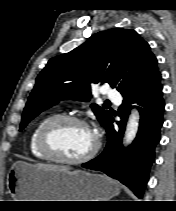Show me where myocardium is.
Masks as SVG:
<instances>
[{"mask_svg":"<svg viewBox=\"0 0 176 211\" xmlns=\"http://www.w3.org/2000/svg\"><path fill=\"white\" fill-rule=\"evenodd\" d=\"M63 123H74L81 125L92 133L94 142L91 149L85 155L78 158H66L58 153L53 147L50 141V134L55 127ZM38 147L43 154L52 160L65 164L76 165L87 162L97 154L100 148V138L95 129L84 119L70 114H58L48 119L40 128L38 134Z\"/></svg>","mask_w":176,"mask_h":211,"instance_id":"myocardium-1","label":"myocardium"}]
</instances>
